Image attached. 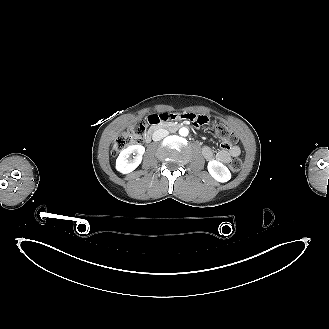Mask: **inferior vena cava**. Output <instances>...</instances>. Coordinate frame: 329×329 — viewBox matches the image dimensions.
Here are the masks:
<instances>
[{
	"label": "inferior vena cava",
	"instance_id": "602c4592",
	"mask_svg": "<svg viewBox=\"0 0 329 329\" xmlns=\"http://www.w3.org/2000/svg\"><path fill=\"white\" fill-rule=\"evenodd\" d=\"M169 134V132L165 129H158L153 133L152 139L154 141H160L164 137H166Z\"/></svg>",
	"mask_w": 329,
	"mask_h": 329
}]
</instances>
